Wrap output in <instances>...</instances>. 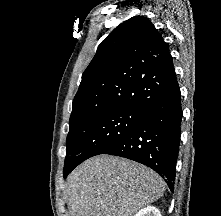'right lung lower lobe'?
Returning a JSON list of instances; mask_svg holds the SVG:
<instances>
[{"instance_id":"obj_1","label":"right lung lower lobe","mask_w":221,"mask_h":216,"mask_svg":"<svg viewBox=\"0 0 221 216\" xmlns=\"http://www.w3.org/2000/svg\"><path fill=\"white\" fill-rule=\"evenodd\" d=\"M181 120V94L175 80L141 110L136 127L102 154L125 157L152 168L173 192ZM74 168L69 167L68 173Z\"/></svg>"}]
</instances>
